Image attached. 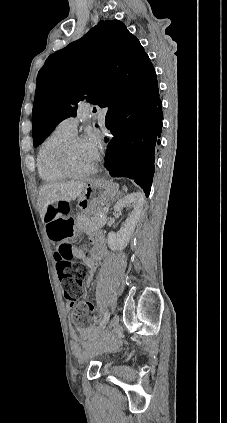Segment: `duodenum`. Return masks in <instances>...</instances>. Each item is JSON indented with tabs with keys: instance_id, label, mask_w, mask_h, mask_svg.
Segmentation results:
<instances>
[{
	"instance_id": "410a0bca",
	"label": "duodenum",
	"mask_w": 227,
	"mask_h": 423,
	"mask_svg": "<svg viewBox=\"0 0 227 423\" xmlns=\"http://www.w3.org/2000/svg\"><path fill=\"white\" fill-rule=\"evenodd\" d=\"M95 248H96V254H102V253H104L105 252V245H104V243L103 242H98L96 245H95Z\"/></svg>"
}]
</instances>
